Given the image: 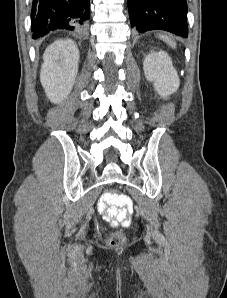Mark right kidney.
Wrapping results in <instances>:
<instances>
[{
    "instance_id": "ca27d5eb",
    "label": "right kidney",
    "mask_w": 227,
    "mask_h": 298,
    "mask_svg": "<svg viewBox=\"0 0 227 298\" xmlns=\"http://www.w3.org/2000/svg\"><path fill=\"white\" fill-rule=\"evenodd\" d=\"M40 81L47 98L53 103L65 99L74 85L78 72L79 50L71 39H60L44 52Z\"/></svg>"
}]
</instances>
